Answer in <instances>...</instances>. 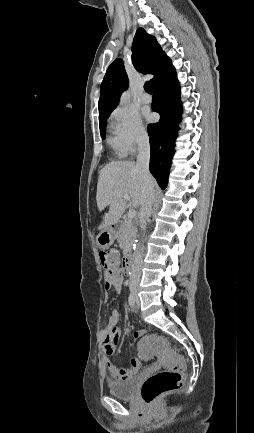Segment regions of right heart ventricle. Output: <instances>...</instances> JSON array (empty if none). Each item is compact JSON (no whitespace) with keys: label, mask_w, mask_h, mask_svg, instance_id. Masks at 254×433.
Listing matches in <instances>:
<instances>
[{"label":"right heart ventricle","mask_w":254,"mask_h":433,"mask_svg":"<svg viewBox=\"0 0 254 433\" xmlns=\"http://www.w3.org/2000/svg\"><path fill=\"white\" fill-rule=\"evenodd\" d=\"M107 141H108L109 146L113 149V151L116 154L122 155V152L120 151V148H119V145H118V142H117L115 136H110Z\"/></svg>","instance_id":"e07e8e85"}]
</instances>
